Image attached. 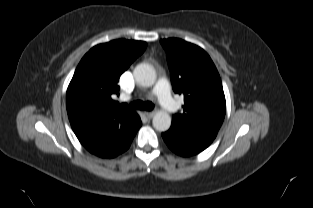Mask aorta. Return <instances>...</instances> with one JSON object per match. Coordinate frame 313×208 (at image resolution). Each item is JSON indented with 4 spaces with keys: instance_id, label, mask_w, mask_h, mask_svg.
I'll return each instance as SVG.
<instances>
[{
    "instance_id": "1",
    "label": "aorta",
    "mask_w": 313,
    "mask_h": 208,
    "mask_svg": "<svg viewBox=\"0 0 313 208\" xmlns=\"http://www.w3.org/2000/svg\"><path fill=\"white\" fill-rule=\"evenodd\" d=\"M135 81L143 87H150L156 81V72L148 64H139L133 71ZM153 127L160 132L167 131L171 126V117L165 111H158L152 120Z\"/></svg>"
}]
</instances>
